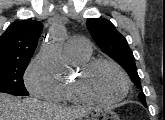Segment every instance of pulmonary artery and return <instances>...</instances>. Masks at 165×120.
Segmentation results:
<instances>
[{
  "mask_svg": "<svg viewBox=\"0 0 165 120\" xmlns=\"http://www.w3.org/2000/svg\"><path fill=\"white\" fill-rule=\"evenodd\" d=\"M65 51L68 55L85 56L91 53V46L85 38L75 36L67 41Z\"/></svg>",
  "mask_w": 165,
  "mask_h": 120,
  "instance_id": "1",
  "label": "pulmonary artery"
}]
</instances>
